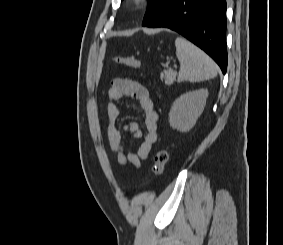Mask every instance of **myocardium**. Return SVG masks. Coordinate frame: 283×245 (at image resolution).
<instances>
[{
	"instance_id": "f54148a6",
	"label": "myocardium",
	"mask_w": 283,
	"mask_h": 245,
	"mask_svg": "<svg viewBox=\"0 0 283 245\" xmlns=\"http://www.w3.org/2000/svg\"><path fill=\"white\" fill-rule=\"evenodd\" d=\"M149 0H130L131 6L135 10H141L143 9L147 4Z\"/></svg>"
}]
</instances>
